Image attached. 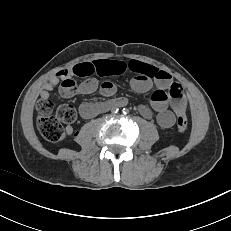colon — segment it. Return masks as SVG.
<instances>
[{"label":"colon","instance_id":"1","mask_svg":"<svg viewBox=\"0 0 231 231\" xmlns=\"http://www.w3.org/2000/svg\"><path fill=\"white\" fill-rule=\"evenodd\" d=\"M77 89V83L73 76L63 79L61 93L71 96ZM37 128L43 138L52 143L62 142L66 138L63 124H71L76 119V110L72 105H60L54 111V105L49 99L41 100L37 104ZM176 128L178 132H184L187 128V117L181 113L177 119Z\"/></svg>","mask_w":231,"mask_h":231}]
</instances>
